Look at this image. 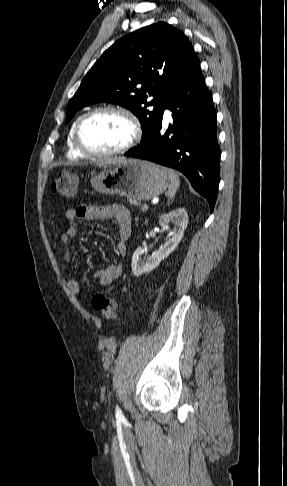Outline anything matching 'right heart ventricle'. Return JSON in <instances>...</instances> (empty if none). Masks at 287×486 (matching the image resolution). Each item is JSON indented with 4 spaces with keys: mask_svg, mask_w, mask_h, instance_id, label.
Listing matches in <instances>:
<instances>
[{
    "mask_svg": "<svg viewBox=\"0 0 287 486\" xmlns=\"http://www.w3.org/2000/svg\"><path fill=\"white\" fill-rule=\"evenodd\" d=\"M77 121H75L69 131L68 137H67V154L70 158L74 159H81L84 158L85 156L81 154L75 147L74 141H73V131L74 127Z\"/></svg>",
    "mask_w": 287,
    "mask_h": 486,
    "instance_id": "obj_1",
    "label": "right heart ventricle"
}]
</instances>
